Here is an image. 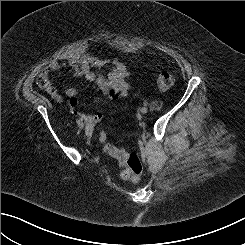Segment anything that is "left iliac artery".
Returning a JSON list of instances; mask_svg holds the SVG:
<instances>
[{
	"mask_svg": "<svg viewBox=\"0 0 245 245\" xmlns=\"http://www.w3.org/2000/svg\"><path fill=\"white\" fill-rule=\"evenodd\" d=\"M143 104H144V106H147L148 105V103L146 101Z\"/></svg>",
	"mask_w": 245,
	"mask_h": 245,
	"instance_id": "obj_1",
	"label": "left iliac artery"
}]
</instances>
